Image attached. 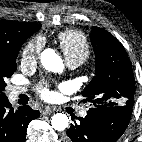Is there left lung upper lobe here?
<instances>
[{
	"label": "left lung upper lobe",
	"mask_w": 142,
	"mask_h": 142,
	"mask_svg": "<svg viewBox=\"0 0 142 142\" xmlns=\"http://www.w3.org/2000/svg\"><path fill=\"white\" fill-rule=\"evenodd\" d=\"M91 42L95 52V76L82 95L95 107L134 105L135 79L122 44L110 33L93 27Z\"/></svg>",
	"instance_id": "left-lung-upper-lobe-1"
}]
</instances>
